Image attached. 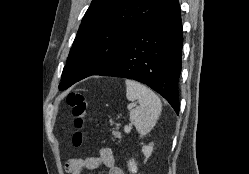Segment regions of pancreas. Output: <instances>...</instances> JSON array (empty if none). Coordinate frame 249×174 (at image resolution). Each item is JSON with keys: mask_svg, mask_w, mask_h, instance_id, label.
Returning a JSON list of instances; mask_svg holds the SVG:
<instances>
[{"mask_svg": "<svg viewBox=\"0 0 249 174\" xmlns=\"http://www.w3.org/2000/svg\"><path fill=\"white\" fill-rule=\"evenodd\" d=\"M119 125H117L115 131L113 132V135L118 138L121 139V132L118 131Z\"/></svg>", "mask_w": 249, "mask_h": 174, "instance_id": "1", "label": "pancreas"}]
</instances>
